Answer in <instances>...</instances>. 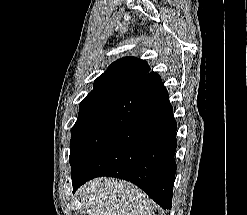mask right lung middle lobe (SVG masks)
Masks as SVG:
<instances>
[{"mask_svg":"<svg viewBox=\"0 0 247 215\" xmlns=\"http://www.w3.org/2000/svg\"><path fill=\"white\" fill-rule=\"evenodd\" d=\"M126 91L127 89L118 88L91 92L82 100L78 119L71 130L70 164L87 132L122 98Z\"/></svg>","mask_w":247,"mask_h":215,"instance_id":"1","label":"right lung middle lobe"}]
</instances>
